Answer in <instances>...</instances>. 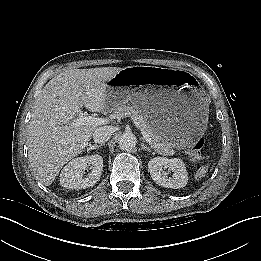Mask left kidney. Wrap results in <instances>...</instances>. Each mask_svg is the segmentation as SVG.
Listing matches in <instances>:
<instances>
[{
	"label": "left kidney",
	"instance_id": "obj_1",
	"mask_svg": "<svg viewBox=\"0 0 261 261\" xmlns=\"http://www.w3.org/2000/svg\"><path fill=\"white\" fill-rule=\"evenodd\" d=\"M148 170L152 179L162 187L179 189L187 185L186 166L180 158L155 157L149 161ZM171 172L172 177L169 176Z\"/></svg>",
	"mask_w": 261,
	"mask_h": 261
}]
</instances>
